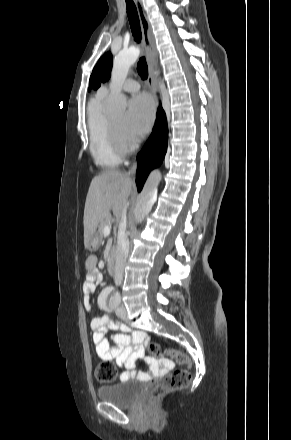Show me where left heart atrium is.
Segmentation results:
<instances>
[{"label": "left heart atrium", "instance_id": "39dd6f15", "mask_svg": "<svg viewBox=\"0 0 291 440\" xmlns=\"http://www.w3.org/2000/svg\"><path fill=\"white\" fill-rule=\"evenodd\" d=\"M154 117L153 103L147 95L134 96L129 102V109L124 119L126 137L135 140L145 135Z\"/></svg>", "mask_w": 291, "mask_h": 440}]
</instances>
